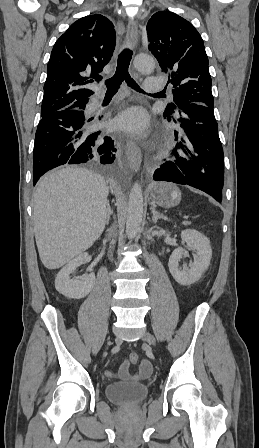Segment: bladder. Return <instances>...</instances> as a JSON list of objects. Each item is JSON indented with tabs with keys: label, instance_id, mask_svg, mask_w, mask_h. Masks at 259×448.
Masks as SVG:
<instances>
[{
	"label": "bladder",
	"instance_id": "1",
	"mask_svg": "<svg viewBox=\"0 0 259 448\" xmlns=\"http://www.w3.org/2000/svg\"><path fill=\"white\" fill-rule=\"evenodd\" d=\"M145 383H111L106 385L105 394L109 401L122 406L136 405L148 395Z\"/></svg>",
	"mask_w": 259,
	"mask_h": 448
}]
</instances>
